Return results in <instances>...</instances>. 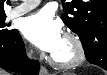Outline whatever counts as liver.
Listing matches in <instances>:
<instances>
[{"label": "liver", "instance_id": "obj_1", "mask_svg": "<svg viewBox=\"0 0 107 75\" xmlns=\"http://www.w3.org/2000/svg\"><path fill=\"white\" fill-rule=\"evenodd\" d=\"M0 75H8L5 71L1 70Z\"/></svg>", "mask_w": 107, "mask_h": 75}]
</instances>
